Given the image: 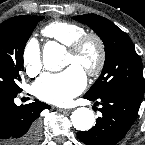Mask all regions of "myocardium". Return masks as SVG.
Here are the masks:
<instances>
[{
	"mask_svg": "<svg viewBox=\"0 0 145 145\" xmlns=\"http://www.w3.org/2000/svg\"><path fill=\"white\" fill-rule=\"evenodd\" d=\"M92 42L97 47L98 58L95 66L85 69L89 77H98L104 70L107 59L106 46L103 39L96 33L86 32L76 38L69 46L68 51L73 56H78L83 51L87 43Z\"/></svg>",
	"mask_w": 145,
	"mask_h": 145,
	"instance_id": "f54148a6",
	"label": "myocardium"
}]
</instances>
